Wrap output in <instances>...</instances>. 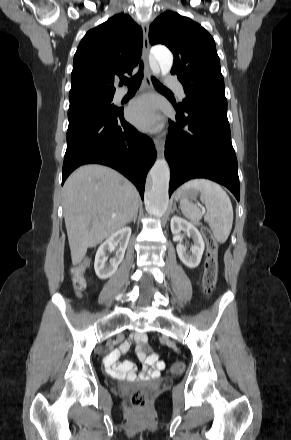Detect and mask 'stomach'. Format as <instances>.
Here are the masks:
<instances>
[{
  "instance_id": "stomach-1",
  "label": "stomach",
  "mask_w": 291,
  "mask_h": 440,
  "mask_svg": "<svg viewBox=\"0 0 291 440\" xmlns=\"http://www.w3.org/2000/svg\"><path fill=\"white\" fill-rule=\"evenodd\" d=\"M197 196V192L193 189H189L187 191H180L177 196L176 199H187L188 201H191L193 199H195Z\"/></svg>"
}]
</instances>
